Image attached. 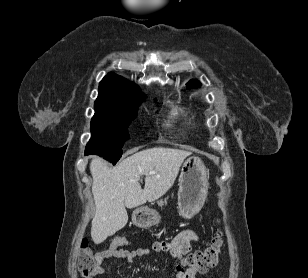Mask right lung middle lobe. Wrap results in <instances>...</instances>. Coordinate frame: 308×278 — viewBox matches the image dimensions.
Instances as JSON below:
<instances>
[{
  "instance_id": "right-lung-middle-lobe-1",
  "label": "right lung middle lobe",
  "mask_w": 308,
  "mask_h": 278,
  "mask_svg": "<svg viewBox=\"0 0 308 278\" xmlns=\"http://www.w3.org/2000/svg\"><path fill=\"white\" fill-rule=\"evenodd\" d=\"M92 119L91 139L86 146L85 155L96 154L116 164L122 155L124 141L129 139L127 127L135 118Z\"/></svg>"
}]
</instances>
